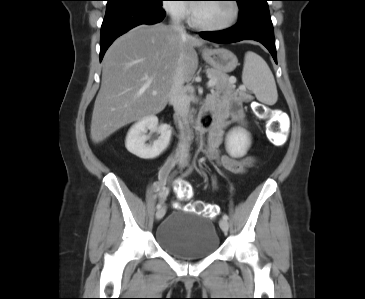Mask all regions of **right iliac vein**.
<instances>
[{
	"instance_id": "obj_1",
	"label": "right iliac vein",
	"mask_w": 365,
	"mask_h": 299,
	"mask_svg": "<svg viewBox=\"0 0 365 299\" xmlns=\"http://www.w3.org/2000/svg\"><path fill=\"white\" fill-rule=\"evenodd\" d=\"M165 213H166V208L163 206L156 212V219L161 220L164 217Z\"/></svg>"
}]
</instances>
